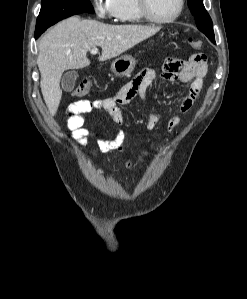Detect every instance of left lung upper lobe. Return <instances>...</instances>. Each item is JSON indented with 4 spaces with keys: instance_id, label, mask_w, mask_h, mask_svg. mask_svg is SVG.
<instances>
[{
    "instance_id": "obj_1",
    "label": "left lung upper lobe",
    "mask_w": 247,
    "mask_h": 299,
    "mask_svg": "<svg viewBox=\"0 0 247 299\" xmlns=\"http://www.w3.org/2000/svg\"><path fill=\"white\" fill-rule=\"evenodd\" d=\"M187 2L195 18L197 28L212 42H215L212 20L203 5V0H187Z\"/></svg>"
}]
</instances>
